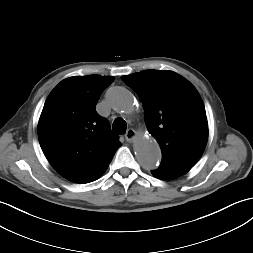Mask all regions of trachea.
<instances>
[{"label": "trachea", "mask_w": 253, "mask_h": 253, "mask_svg": "<svg viewBox=\"0 0 253 253\" xmlns=\"http://www.w3.org/2000/svg\"><path fill=\"white\" fill-rule=\"evenodd\" d=\"M127 124L122 118H116L113 123V132L116 134H124L126 132Z\"/></svg>", "instance_id": "obj_1"}]
</instances>
